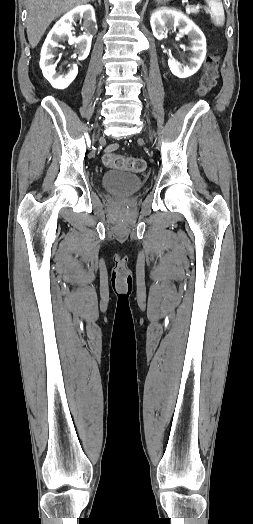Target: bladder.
<instances>
[{"label":"bladder","mask_w":253,"mask_h":524,"mask_svg":"<svg viewBox=\"0 0 253 524\" xmlns=\"http://www.w3.org/2000/svg\"><path fill=\"white\" fill-rule=\"evenodd\" d=\"M100 184L104 191L112 195L127 197L140 191L144 182L132 173L109 170L101 175Z\"/></svg>","instance_id":"1"}]
</instances>
